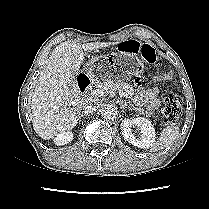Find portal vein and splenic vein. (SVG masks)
Masks as SVG:
<instances>
[{"label": "portal vein and splenic vein", "instance_id": "1", "mask_svg": "<svg viewBox=\"0 0 209 209\" xmlns=\"http://www.w3.org/2000/svg\"><path fill=\"white\" fill-rule=\"evenodd\" d=\"M103 94H104V90L101 89V88L94 89V90L91 91V96H93V97L102 96ZM119 95L121 97H126V94L123 90H119Z\"/></svg>", "mask_w": 209, "mask_h": 209}]
</instances>
